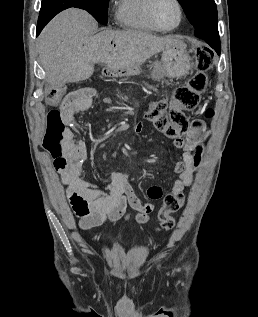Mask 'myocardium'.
<instances>
[{"label":"myocardium","instance_id":"f54148a6","mask_svg":"<svg viewBox=\"0 0 258 317\" xmlns=\"http://www.w3.org/2000/svg\"><path fill=\"white\" fill-rule=\"evenodd\" d=\"M160 0H152L151 3L149 4L148 6V9H147V17H148V20L150 21V23L158 30V31H161V32H169V31H172L174 29H176L181 21H182V17H183V8H182V3L180 0H174L178 6V19H177V22L171 26V27H168V28H163L161 27L155 20L154 18V15H153V10H154V7L156 5L157 2H159Z\"/></svg>","mask_w":258,"mask_h":317}]
</instances>
